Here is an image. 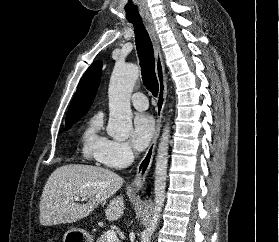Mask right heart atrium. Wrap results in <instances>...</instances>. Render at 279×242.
<instances>
[{"label": "right heart atrium", "instance_id": "1", "mask_svg": "<svg viewBox=\"0 0 279 242\" xmlns=\"http://www.w3.org/2000/svg\"><path fill=\"white\" fill-rule=\"evenodd\" d=\"M133 158L134 153L128 143L110 140L97 160L107 167L119 169L129 165Z\"/></svg>", "mask_w": 279, "mask_h": 242}]
</instances>
